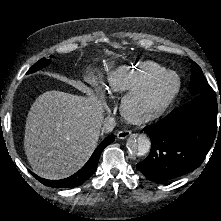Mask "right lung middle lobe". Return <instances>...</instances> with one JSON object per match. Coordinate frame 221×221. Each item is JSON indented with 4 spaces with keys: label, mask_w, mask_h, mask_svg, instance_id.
I'll return each instance as SVG.
<instances>
[{
    "label": "right lung middle lobe",
    "mask_w": 221,
    "mask_h": 221,
    "mask_svg": "<svg viewBox=\"0 0 221 221\" xmlns=\"http://www.w3.org/2000/svg\"><path fill=\"white\" fill-rule=\"evenodd\" d=\"M53 57V56H51ZM50 63V60H47L45 58L39 60L35 65H33L29 71L27 72V74H30V73H33V72H36L37 70L43 68V67H46L48 64Z\"/></svg>",
    "instance_id": "right-lung-middle-lobe-1"
}]
</instances>
